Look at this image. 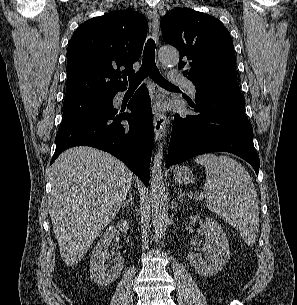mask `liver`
Here are the masks:
<instances>
[{
	"label": "liver",
	"mask_w": 297,
	"mask_h": 305,
	"mask_svg": "<svg viewBox=\"0 0 297 305\" xmlns=\"http://www.w3.org/2000/svg\"><path fill=\"white\" fill-rule=\"evenodd\" d=\"M49 213L60 256L73 266L112 221L132 188L129 168L87 146L64 151L51 166Z\"/></svg>",
	"instance_id": "1"
}]
</instances>
